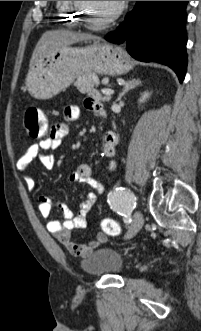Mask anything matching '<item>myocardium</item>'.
Instances as JSON below:
<instances>
[{"instance_id":"obj_1","label":"myocardium","mask_w":201,"mask_h":331,"mask_svg":"<svg viewBox=\"0 0 201 331\" xmlns=\"http://www.w3.org/2000/svg\"><path fill=\"white\" fill-rule=\"evenodd\" d=\"M74 7L78 10V15L81 18V22L85 25H89L92 27H106L108 25H110L111 23H113L123 12L124 8H125V1H119L118 2V6L115 9V11L109 15L108 17H106L104 20L100 21L97 24H93L92 22H90L89 20H87L85 18V12H84V8L86 7L83 1H72Z\"/></svg>"}]
</instances>
